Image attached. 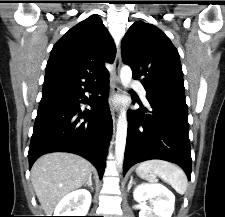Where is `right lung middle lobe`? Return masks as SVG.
Returning a JSON list of instances; mask_svg holds the SVG:
<instances>
[{"instance_id": "right-lung-middle-lobe-1", "label": "right lung middle lobe", "mask_w": 225, "mask_h": 217, "mask_svg": "<svg viewBox=\"0 0 225 217\" xmlns=\"http://www.w3.org/2000/svg\"><path fill=\"white\" fill-rule=\"evenodd\" d=\"M62 96H65V95H62ZM55 97H60V96H55Z\"/></svg>"}]
</instances>
